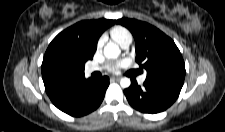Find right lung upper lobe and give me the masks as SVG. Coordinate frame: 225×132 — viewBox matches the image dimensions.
I'll use <instances>...</instances> for the list:
<instances>
[{
	"instance_id": "cb5924a9",
	"label": "right lung upper lobe",
	"mask_w": 225,
	"mask_h": 132,
	"mask_svg": "<svg viewBox=\"0 0 225 132\" xmlns=\"http://www.w3.org/2000/svg\"><path fill=\"white\" fill-rule=\"evenodd\" d=\"M115 23V20L107 19L81 21L62 31L52 40L41 67L47 93L84 75V68L80 67L66 71L54 69L48 62V54L56 48L64 49L84 65L87 60L93 58L101 34Z\"/></svg>"
}]
</instances>
